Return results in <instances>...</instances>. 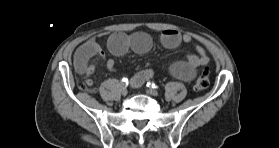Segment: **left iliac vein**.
<instances>
[{
  "label": "left iliac vein",
  "instance_id": "1",
  "mask_svg": "<svg viewBox=\"0 0 279 148\" xmlns=\"http://www.w3.org/2000/svg\"><path fill=\"white\" fill-rule=\"evenodd\" d=\"M146 92H147V94H149L151 96H155V97L158 96V92L154 89H147Z\"/></svg>",
  "mask_w": 279,
  "mask_h": 148
}]
</instances>
